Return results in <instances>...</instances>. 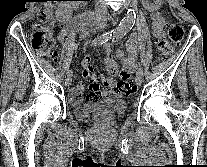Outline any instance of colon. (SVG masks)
I'll return each instance as SVG.
<instances>
[{
    "mask_svg": "<svg viewBox=\"0 0 207 167\" xmlns=\"http://www.w3.org/2000/svg\"><path fill=\"white\" fill-rule=\"evenodd\" d=\"M53 25L52 7H43L38 12L37 21L33 24L31 42L33 47L44 50L51 59L56 60L58 54L53 50L54 42L51 37V28ZM184 37V30L181 25L171 21L168 25V37L159 42V51L162 56L169 57L173 53L174 46L179 45ZM117 89L124 95H130L135 91L133 82L129 76L121 71L120 80Z\"/></svg>",
    "mask_w": 207,
    "mask_h": 167,
    "instance_id": "obj_1",
    "label": "colon"
}]
</instances>
